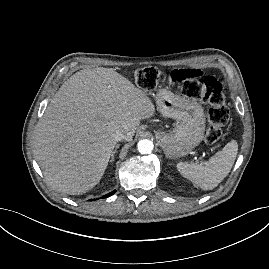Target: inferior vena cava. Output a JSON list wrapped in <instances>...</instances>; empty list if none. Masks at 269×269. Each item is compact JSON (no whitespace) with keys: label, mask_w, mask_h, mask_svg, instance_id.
I'll list each match as a JSON object with an SVG mask.
<instances>
[{"label":"inferior vena cava","mask_w":269,"mask_h":269,"mask_svg":"<svg viewBox=\"0 0 269 269\" xmlns=\"http://www.w3.org/2000/svg\"><path fill=\"white\" fill-rule=\"evenodd\" d=\"M114 139L118 142V141H123V140H127V133L125 130L123 129H119L115 132L114 134Z\"/></svg>","instance_id":"1"}]
</instances>
